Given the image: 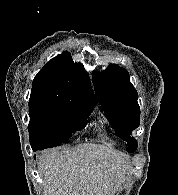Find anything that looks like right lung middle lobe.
Returning a JSON list of instances; mask_svg holds the SVG:
<instances>
[{
	"instance_id": "dd1d6c3e",
	"label": "right lung middle lobe",
	"mask_w": 178,
	"mask_h": 195,
	"mask_svg": "<svg viewBox=\"0 0 178 195\" xmlns=\"http://www.w3.org/2000/svg\"><path fill=\"white\" fill-rule=\"evenodd\" d=\"M94 107L89 103L29 101L28 131L32 150L65 143L71 133L85 127V120Z\"/></svg>"
}]
</instances>
